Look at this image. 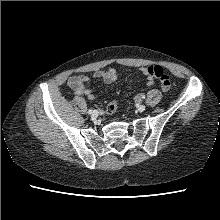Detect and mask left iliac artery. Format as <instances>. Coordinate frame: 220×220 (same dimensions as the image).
<instances>
[{"mask_svg":"<svg viewBox=\"0 0 220 220\" xmlns=\"http://www.w3.org/2000/svg\"><path fill=\"white\" fill-rule=\"evenodd\" d=\"M140 98L144 99L145 98V94H140Z\"/></svg>","mask_w":220,"mask_h":220,"instance_id":"44dca946","label":"left iliac artery"}]
</instances>
